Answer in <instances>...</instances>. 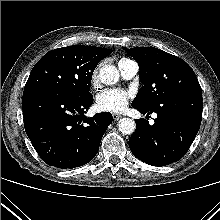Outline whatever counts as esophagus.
Here are the masks:
<instances>
[{
    "label": "esophagus",
    "mask_w": 220,
    "mask_h": 220,
    "mask_svg": "<svg viewBox=\"0 0 220 220\" xmlns=\"http://www.w3.org/2000/svg\"><path fill=\"white\" fill-rule=\"evenodd\" d=\"M121 117H122L121 115L113 114V119H114V121L119 120Z\"/></svg>",
    "instance_id": "obj_1"
}]
</instances>
